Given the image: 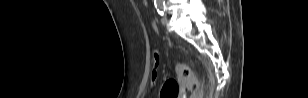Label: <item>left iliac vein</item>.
I'll return each instance as SVG.
<instances>
[{
    "mask_svg": "<svg viewBox=\"0 0 308 98\" xmlns=\"http://www.w3.org/2000/svg\"><path fill=\"white\" fill-rule=\"evenodd\" d=\"M161 22L164 26H166L168 24V18L167 16H163L162 19H161Z\"/></svg>",
    "mask_w": 308,
    "mask_h": 98,
    "instance_id": "1",
    "label": "left iliac vein"
}]
</instances>
